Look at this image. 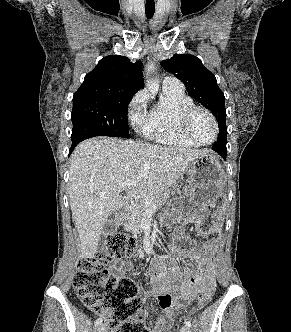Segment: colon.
<instances>
[{
	"mask_svg": "<svg viewBox=\"0 0 291 332\" xmlns=\"http://www.w3.org/2000/svg\"><path fill=\"white\" fill-rule=\"evenodd\" d=\"M219 223L220 218L215 217ZM212 234L209 230L206 235ZM135 237L122 232L109 234L103 248L93 259L79 261L73 276V286L82 303L105 318L109 332H150L146 323L137 318L142 308L138 287L128 278H120L108 268V263L134 255ZM214 289L201 293L198 307L203 308L212 299Z\"/></svg>",
	"mask_w": 291,
	"mask_h": 332,
	"instance_id": "obj_1",
	"label": "colon"
}]
</instances>
